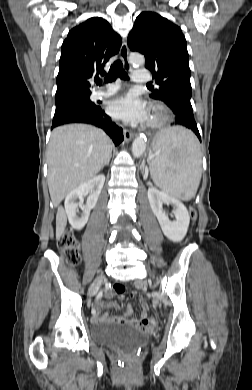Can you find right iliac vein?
Listing matches in <instances>:
<instances>
[{
	"label": "right iliac vein",
	"instance_id": "right-iliac-vein-1",
	"mask_svg": "<svg viewBox=\"0 0 252 390\" xmlns=\"http://www.w3.org/2000/svg\"><path fill=\"white\" fill-rule=\"evenodd\" d=\"M103 279H104L103 275H101L95 279V281L93 282V284L91 285V287L89 289V297H92L97 293Z\"/></svg>",
	"mask_w": 252,
	"mask_h": 390
}]
</instances>
